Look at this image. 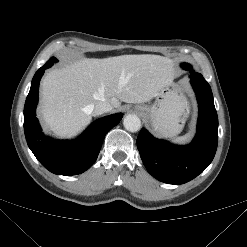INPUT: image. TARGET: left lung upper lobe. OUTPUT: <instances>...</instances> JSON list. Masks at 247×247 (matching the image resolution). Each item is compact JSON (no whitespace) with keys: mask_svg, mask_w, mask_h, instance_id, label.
<instances>
[{"mask_svg":"<svg viewBox=\"0 0 247 247\" xmlns=\"http://www.w3.org/2000/svg\"><path fill=\"white\" fill-rule=\"evenodd\" d=\"M182 67L185 68V69H188L190 72H193L192 68H191V66L189 64H185L184 63V64H182Z\"/></svg>","mask_w":247,"mask_h":247,"instance_id":"1","label":"left lung upper lobe"}]
</instances>
